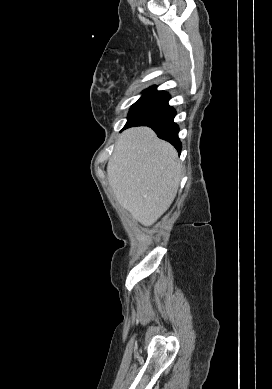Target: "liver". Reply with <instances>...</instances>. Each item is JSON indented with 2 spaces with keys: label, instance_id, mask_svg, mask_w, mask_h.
I'll use <instances>...</instances> for the list:
<instances>
[{
  "label": "liver",
  "instance_id": "obj_1",
  "mask_svg": "<svg viewBox=\"0 0 272 389\" xmlns=\"http://www.w3.org/2000/svg\"><path fill=\"white\" fill-rule=\"evenodd\" d=\"M176 150L148 127L124 131L107 165L119 204L144 226L153 225L172 204L181 179Z\"/></svg>",
  "mask_w": 272,
  "mask_h": 389
}]
</instances>
